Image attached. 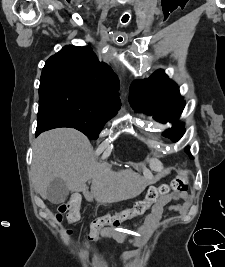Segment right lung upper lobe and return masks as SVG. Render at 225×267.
<instances>
[{"label": "right lung upper lobe", "mask_w": 225, "mask_h": 267, "mask_svg": "<svg viewBox=\"0 0 225 267\" xmlns=\"http://www.w3.org/2000/svg\"><path fill=\"white\" fill-rule=\"evenodd\" d=\"M64 80L84 86L96 97L120 108L119 81L113 70L99 62L89 47L67 45L51 56L42 69L41 80Z\"/></svg>", "instance_id": "obj_1"}]
</instances>
